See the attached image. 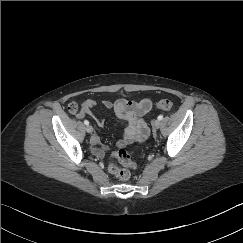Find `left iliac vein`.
<instances>
[{"label":"left iliac vein","instance_id":"4c4485c4","mask_svg":"<svg viewBox=\"0 0 243 243\" xmlns=\"http://www.w3.org/2000/svg\"><path fill=\"white\" fill-rule=\"evenodd\" d=\"M160 125H161L160 120H155L153 123L154 129H159Z\"/></svg>","mask_w":243,"mask_h":243}]
</instances>
